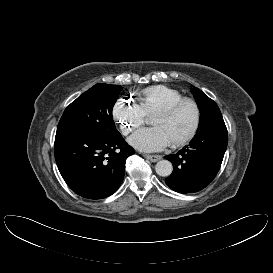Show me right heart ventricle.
Segmentation results:
<instances>
[{
	"mask_svg": "<svg viewBox=\"0 0 273 273\" xmlns=\"http://www.w3.org/2000/svg\"><path fill=\"white\" fill-rule=\"evenodd\" d=\"M134 95L137 105L150 119L167 104L183 97L179 91L164 85L150 86Z\"/></svg>",
	"mask_w": 273,
	"mask_h": 273,
	"instance_id": "obj_1",
	"label": "right heart ventricle"
}]
</instances>
